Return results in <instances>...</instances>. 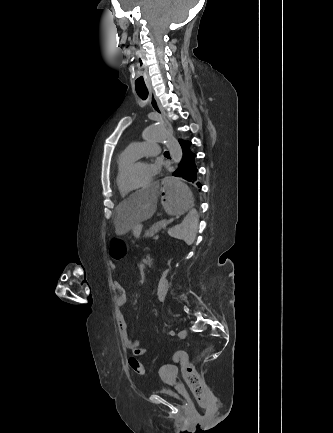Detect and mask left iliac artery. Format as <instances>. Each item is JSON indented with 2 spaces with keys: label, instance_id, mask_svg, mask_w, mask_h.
I'll return each instance as SVG.
<instances>
[{
  "label": "left iliac artery",
  "instance_id": "left-iliac-artery-1",
  "mask_svg": "<svg viewBox=\"0 0 333 433\" xmlns=\"http://www.w3.org/2000/svg\"><path fill=\"white\" fill-rule=\"evenodd\" d=\"M169 334L172 335V336H174V335H175V332H174L173 330H171V331L169 332Z\"/></svg>",
  "mask_w": 333,
  "mask_h": 433
}]
</instances>
